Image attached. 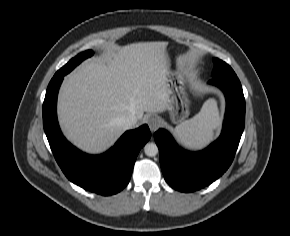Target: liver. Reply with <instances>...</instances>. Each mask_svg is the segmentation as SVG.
<instances>
[{"mask_svg":"<svg viewBox=\"0 0 290 236\" xmlns=\"http://www.w3.org/2000/svg\"><path fill=\"white\" fill-rule=\"evenodd\" d=\"M167 42L116 47L101 59L84 62L66 76L58 97V119L66 138L98 154L123 134L120 118L167 110Z\"/></svg>","mask_w":290,"mask_h":236,"instance_id":"liver-1","label":"liver"}]
</instances>
